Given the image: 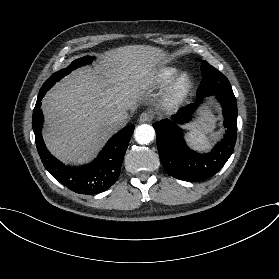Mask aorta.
Wrapping results in <instances>:
<instances>
[{
  "label": "aorta",
  "instance_id": "obj_1",
  "mask_svg": "<svg viewBox=\"0 0 279 279\" xmlns=\"http://www.w3.org/2000/svg\"><path fill=\"white\" fill-rule=\"evenodd\" d=\"M135 140L141 145L149 144L155 137V130L151 125L142 124L135 129Z\"/></svg>",
  "mask_w": 279,
  "mask_h": 279
}]
</instances>
